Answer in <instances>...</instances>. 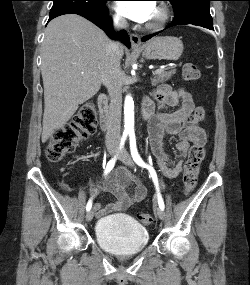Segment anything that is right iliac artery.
<instances>
[{"instance_id":"obj_1","label":"right iliac artery","mask_w":250,"mask_h":285,"mask_svg":"<svg viewBox=\"0 0 250 285\" xmlns=\"http://www.w3.org/2000/svg\"><path fill=\"white\" fill-rule=\"evenodd\" d=\"M125 140H126V135H123L121 139V143H120V150L123 148ZM115 162H116V156L107 163V166L104 171V175H107L113 169ZM91 207H92V198L88 201L86 205V210L89 211Z\"/></svg>"}]
</instances>
